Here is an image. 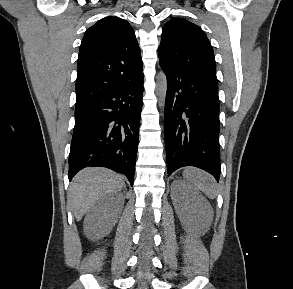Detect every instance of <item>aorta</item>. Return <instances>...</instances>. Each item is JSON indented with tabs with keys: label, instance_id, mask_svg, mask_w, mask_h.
Wrapping results in <instances>:
<instances>
[{
	"label": "aorta",
	"instance_id": "aorta-1",
	"mask_svg": "<svg viewBox=\"0 0 293 289\" xmlns=\"http://www.w3.org/2000/svg\"><path fill=\"white\" fill-rule=\"evenodd\" d=\"M167 93V78L164 72L160 71L156 77V94L159 99V106L162 108L165 105Z\"/></svg>",
	"mask_w": 293,
	"mask_h": 289
}]
</instances>
